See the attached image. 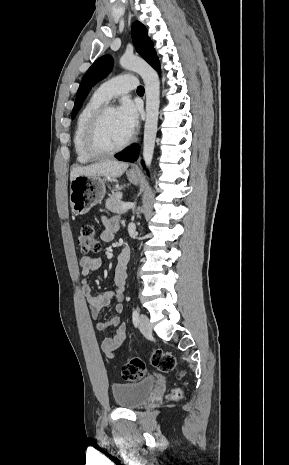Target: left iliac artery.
<instances>
[{
    "instance_id": "44dca946",
    "label": "left iliac artery",
    "mask_w": 289,
    "mask_h": 465,
    "mask_svg": "<svg viewBox=\"0 0 289 465\" xmlns=\"http://www.w3.org/2000/svg\"><path fill=\"white\" fill-rule=\"evenodd\" d=\"M138 318H139V313L137 309H134L133 314H132V319H133V324L134 326H137L138 324Z\"/></svg>"
}]
</instances>
